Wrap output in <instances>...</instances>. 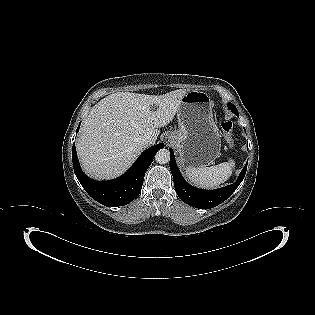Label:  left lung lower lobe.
I'll use <instances>...</instances> for the list:
<instances>
[{
	"label": "left lung lower lobe",
	"mask_w": 315,
	"mask_h": 315,
	"mask_svg": "<svg viewBox=\"0 0 315 315\" xmlns=\"http://www.w3.org/2000/svg\"><path fill=\"white\" fill-rule=\"evenodd\" d=\"M170 154H171V157H170L169 165H170V170L173 175L175 190L179 198L183 202L196 208L209 209V208H213L221 204L223 201L229 198L231 194L237 189L239 184L244 179V176L247 170V164H246V166L243 168V170L241 171L239 175V179L234 184H231V185H228L226 187L216 189V190L197 189L189 185L183 179L176 165V161H175V157H174V153L172 149H170Z\"/></svg>",
	"instance_id": "0a47b994"
}]
</instances>
